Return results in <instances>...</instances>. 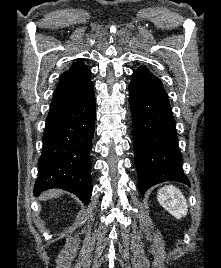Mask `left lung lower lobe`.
<instances>
[{"mask_svg": "<svg viewBox=\"0 0 221 268\" xmlns=\"http://www.w3.org/2000/svg\"><path fill=\"white\" fill-rule=\"evenodd\" d=\"M129 103L140 193L165 181L190 185L181 167L175 119L163 86L133 77Z\"/></svg>", "mask_w": 221, "mask_h": 268, "instance_id": "0a47b994", "label": "left lung lower lobe"}]
</instances>
